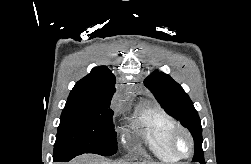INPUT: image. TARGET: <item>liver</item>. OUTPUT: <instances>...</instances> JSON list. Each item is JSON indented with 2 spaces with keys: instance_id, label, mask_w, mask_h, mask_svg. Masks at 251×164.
<instances>
[{
  "instance_id": "1",
  "label": "liver",
  "mask_w": 251,
  "mask_h": 164,
  "mask_svg": "<svg viewBox=\"0 0 251 164\" xmlns=\"http://www.w3.org/2000/svg\"><path fill=\"white\" fill-rule=\"evenodd\" d=\"M68 164H131V163L111 162V161H107L106 159L98 155L85 154V155H81L75 158L73 161H71ZM132 164H145V163H132ZM151 164H155V163H151Z\"/></svg>"
}]
</instances>
